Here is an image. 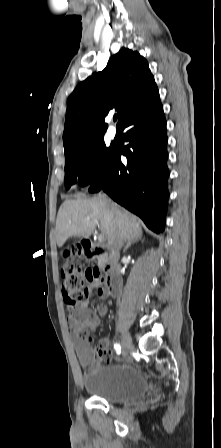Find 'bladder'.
I'll list each match as a JSON object with an SVG mask.
<instances>
[{
	"label": "bladder",
	"instance_id": "31cf9c89",
	"mask_svg": "<svg viewBox=\"0 0 221 448\" xmlns=\"http://www.w3.org/2000/svg\"><path fill=\"white\" fill-rule=\"evenodd\" d=\"M84 388L93 397L111 403L133 401L149 394L144 375L129 366L102 367L82 379Z\"/></svg>",
	"mask_w": 221,
	"mask_h": 448
}]
</instances>
